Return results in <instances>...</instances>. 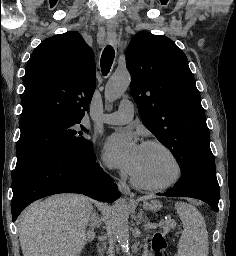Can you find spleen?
<instances>
[{"label": "spleen", "mask_w": 236, "mask_h": 256, "mask_svg": "<svg viewBox=\"0 0 236 256\" xmlns=\"http://www.w3.org/2000/svg\"><path fill=\"white\" fill-rule=\"evenodd\" d=\"M175 208L183 224L176 256H208V232L202 214L195 206L185 202H176Z\"/></svg>", "instance_id": "spleen-1"}]
</instances>
